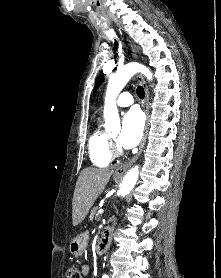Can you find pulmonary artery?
<instances>
[{
    "mask_svg": "<svg viewBox=\"0 0 221 278\" xmlns=\"http://www.w3.org/2000/svg\"><path fill=\"white\" fill-rule=\"evenodd\" d=\"M133 102H134L133 96L129 92L121 93L116 101L119 107L130 106Z\"/></svg>",
    "mask_w": 221,
    "mask_h": 278,
    "instance_id": "e3ab8cb5",
    "label": "pulmonary artery"
}]
</instances>
